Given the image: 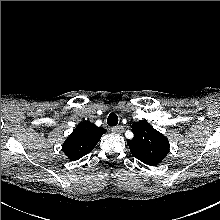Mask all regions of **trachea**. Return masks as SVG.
<instances>
[{
	"mask_svg": "<svg viewBox=\"0 0 220 220\" xmlns=\"http://www.w3.org/2000/svg\"><path fill=\"white\" fill-rule=\"evenodd\" d=\"M109 126H116L118 124V116L115 113H110L107 118Z\"/></svg>",
	"mask_w": 220,
	"mask_h": 220,
	"instance_id": "obj_1",
	"label": "trachea"
}]
</instances>
